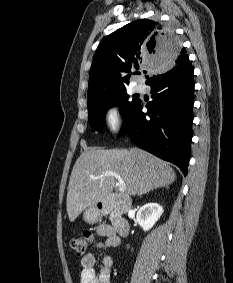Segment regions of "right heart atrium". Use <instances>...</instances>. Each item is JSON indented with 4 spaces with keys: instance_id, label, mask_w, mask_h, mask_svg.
I'll return each instance as SVG.
<instances>
[{
    "instance_id": "d8ad5b80",
    "label": "right heart atrium",
    "mask_w": 233,
    "mask_h": 283,
    "mask_svg": "<svg viewBox=\"0 0 233 283\" xmlns=\"http://www.w3.org/2000/svg\"><path fill=\"white\" fill-rule=\"evenodd\" d=\"M123 122V117L119 106L110 105L104 112V123L109 133H117Z\"/></svg>"
}]
</instances>
